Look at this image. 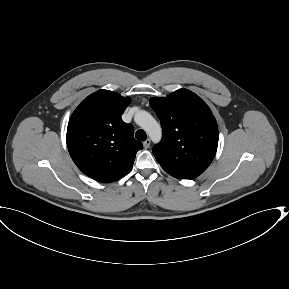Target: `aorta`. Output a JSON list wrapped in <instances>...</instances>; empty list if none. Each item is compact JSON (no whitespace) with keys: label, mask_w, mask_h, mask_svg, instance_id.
Returning <instances> with one entry per match:
<instances>
[{"label":"aorta","mask_w":289,"mask_h":289,"mask_svg":"<svg viewBox=\"0 0 289 289\" xmlns=\"http://www.w3.org/2000/svg\"><path fill=\"white\" fill-rule=\"evenodd\" d=\"M134 120L137 125L146 131L153 142H159L162 137L160 124L146 111H139L135 114Z\"/></svg>","instance_id":"762f6f07"}]
</instances>
